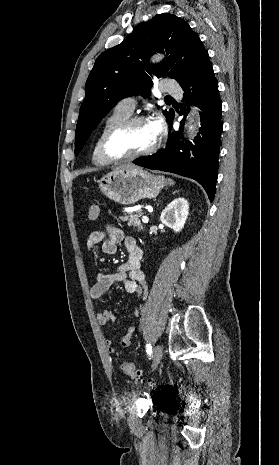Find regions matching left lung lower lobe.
<instances>
[{"label": "left lung lower lobe", "instance_id": "obj_1", "mask_svg": "<svg viewBox=\"0 0 279 465\" xmlns=\"http://www.w3.org/2000/svg\"><path fill=\"white\" fill-rule=\"evenodd\" d=\"M180 85L184 90L183 100H189L187 105L193 102L201 110L200 133L194 139V143L184 142L183 119L179 130L169 136L163 149L151 156L139 158L134 163L145 168L192 178L204 187L212 202L218 176L223 124L218 83L207 52L201 57L192 75Z\"/></svg>", "mask_w": 279, "mask_h": 465}]
</instances>
